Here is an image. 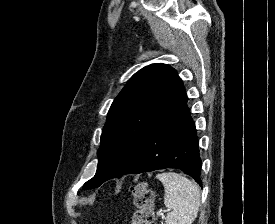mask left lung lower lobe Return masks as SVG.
I'll return each instance as SVG.
<instances>
[{
  "label": "left lung lower lobe",
  "mask_w": 275,
  "mask_h": 224,
  "mask_svg": "<svg viewBox=\"0 0 275 224\" xmlns=\"http://www.w3.org/2000/svg\"><path fill=\"white\" fill-rule=\"evenodd\" d=\"M187 100L185 95L162 119L125 174L177 168L202 186L200 178L202 162L197 131ZM109 179L106 178L102 183Z\"/></svg>",
  "instance_id": "0a47b994"
}]
</instances>
